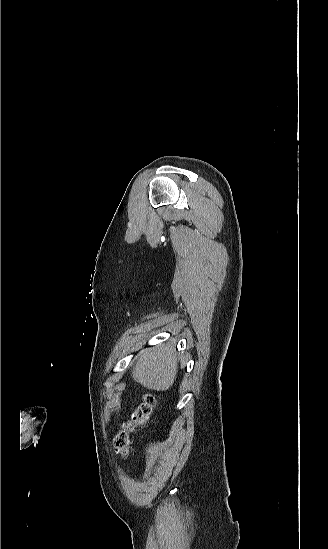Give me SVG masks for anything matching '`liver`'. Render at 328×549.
<instances>
[{"label": "liver", "mask_w": 328, "mask_h": 549, "mask_svg": "<svg viewBox=\"0 0 328 549\" xmlns=\"http://www.w3.org/2000/svg\"><path fill=\"white\" fill-rule=\"evenodd\" d=\"M177 369L174 347L157 345L142 351L132 377L136 383L152 391H168L176 379Z\"/></svg>", "instance_id": "obj_1"}]
</instances>
